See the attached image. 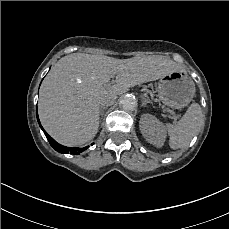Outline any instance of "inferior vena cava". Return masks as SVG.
Wrapping results in <instances>:
<instances>
[{"mask_svg": "<svg viewBox=\"0 0 229 229\" xmlns=\"http://www.w3.org/2000/svg\"><path fill=\"white\" fill-rule=\"evenodd\" d=\"M113 104V103H112ZM112 104H110L108 101H102L101 105L103 107H108V106H111Z\"/></svg>", "mask_w": 229, "mask_h": 229, "instance_id": "obj_1", "label": "inferior vena cava"}]
</instances>
